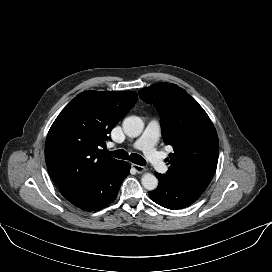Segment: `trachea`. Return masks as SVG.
I'll return each instance as SVG.
<instances>
[{"mask_svg": "<svg viewBox=\"0 0 272 272\" xmlns=\"http://www.w3.org/2000/svg\"><path fill=\"white\" fill-rule=\"evenodd\" d=\"M108 154L118 159H125V160L128 159V153L122 149L108 152ZM129 160L141 166L146 164V161L144 160V158L136 153L131 154L129 156Z\"/></svg>", "mask_w": 272, "mask_h": 272, "instance_id": "trachea-1", "label": "trachea"}]
</instances>
